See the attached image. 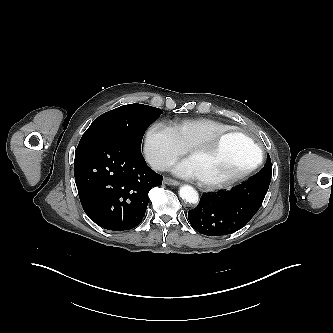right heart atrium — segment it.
Returning <instances> with one entry per match:
<instances>
[{
	"mask_svg": "<svg viewBox=\"0 0 333 333\" xmlns=\"http://www.w3.org/2000/svg\"><path fill=\"white\" fill-rule=\"evenodd\" d=\"M144 151L148 162L164 170L186 152L172 128L162 122L152 123L145 134Z\"/></svg>",
	"mask_w": 333,
	"mask_h": 333,
	"instance_id": "obj_1",
	"label": "right heart atrium"
}]
</instances>
